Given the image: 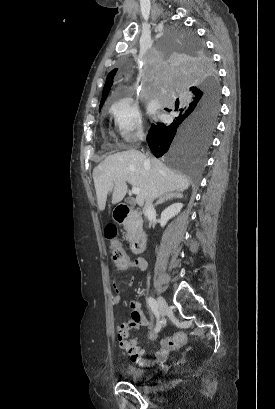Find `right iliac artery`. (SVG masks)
I'll list each match as a JSON object with an SVG mask.
<instances>
[{"label":"right iliac artery","instance_id":"1","mask_svg":"<svg viewBox=\"0 0 275 409\" xmlns=\"http://www.w3.org/2000/svg\"><path fill=\"white\" fill-rule=\"evenodd\" d=\"M147 303L148 306L150 307V309L152 310V312L155 314V316L157 317V326L155 328V332H159L161 329V321L159 320V314H158V305L157 302L154 298L152 297H148L147 298Z\"/></svg>","mask_w":275,"mask_h":409}]
</instances>
